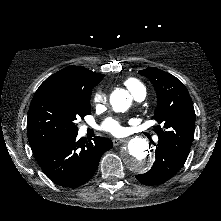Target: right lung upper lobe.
Masks as SVG:
<instances>
[{
	"label": "right lung upper lobe",
	"mask_w": 221,
	"mask_h": 221,
	"mask_svg": "<svg viewBox=\"0 0 221 221\" xmlns=\"http://www.w3.org/2000/svg\"><path fill=\"white\" fill-rule=\"evenodd\" d=\"M103 77V74L92 72L85 67L69 66L51 75L38 89L48 86L88 89L96 86Z\"/></svg>",
	"instance_id": "cb5924a9"
}]
</instances>
